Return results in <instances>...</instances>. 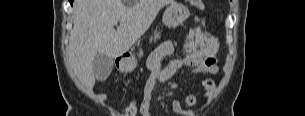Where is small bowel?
<instances>
[{
  "label": "small bowel",
  "mask_w": 305,
  "mask_h": 116,
  "mask_svg": "<svg viewBox=\"0 0 305 116\" xmlns=\"http://www.w3.org/2000/svg\"><path fill=\"white\" fill-rule=\"evenodd\" d=\"M216 51L217 43L215 40L201 39L195 49L182 57L174 58L167 64H164V58L173 54L174 46L170 41L159 45L148 59V67L152 74L143 88L142 99L140 101V115L150 116L151 93L156 83L168 81L183 66L192 67L196 74H216L218 71L215 57ZM201 86L206 93H212L215 89V82L210 78H205L202 80ZM184 102L188 107H194L197 104V98L193 94H188ZM171 109L176 115L194 116L183 110L181 102L177 99L171 102Z\"/></svg>",
  "instance_id": "obj_1"
}]
</instances>
